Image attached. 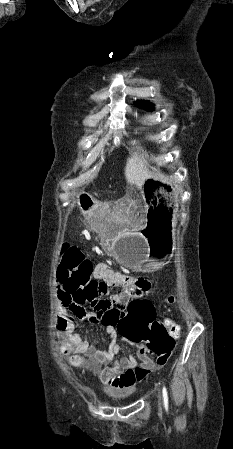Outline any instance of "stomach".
Returning <instances> with one entry per match:
<instances>
[{"instance_id": "0dacf381", "label": "stomach", "mask_w": 233, "mask_h": 449, "mask_svg": "<svg viewBox=\"0 0 233 449\" xmlns=\"http://www.w3.org/2000/svg\"><path fill=\"white\" fill-rule=\"evenodd\" d=\"M143 196L148 206L145 223H135L140 221V212L109 211L132 210V201L81 208L92 227L102 228L104 250L124 267L146 273L162 268L174 252L177 192L172 183L147 179Z\"/></svg>"}]
</instances>
